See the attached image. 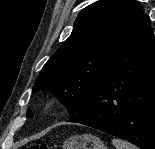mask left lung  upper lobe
<instances>
[{
	"label": "left lung upper lobe",
	"mask_w": 155,
	"mask_h": 149,
	"mask_svg": "<svg viewBox=\"0 0 155 149\" xmlns=\"http://www.w3.org/2000/svg\"><path fill=\"white\" fill-rule=\"evenodd\" d=\"M143 15L134 0H100L83 9L69 38L42 68L32 92H50L71 117L75 115ZM27 117H33L29 110Z\"/></svg>",
	"instance_id": "5c2ea615"
}]
</instances>
